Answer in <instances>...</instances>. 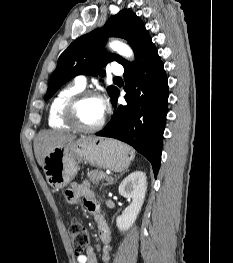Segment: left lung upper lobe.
Returning <instances> with one entry per match:
<instances>
[{
  "label": "left lung upper lobe",
  "mask_w": 233,
  "mask_h": 263,
  "mask_svg": "<svg viewBox=\"0 0 233 263\" xmlns=\"http://www.w3.org/2000/svg\"><path fill=\"white\" fill-rule=\"evenodd\" d=\"M108 37L128 40L136 58L151 41L140 18L128 9L121 10L117 15L112 16L102 29H96L79 37L60 55L56 70L50 77L44 99L51 98L63 84L77 75L105 76L102 67L110 61H117L124 67L128 65L129 62L121 56L104 50L103 45ZM107 91L112 99L118 89L109 86Z\"/></svg>",
  "instance_id": "1"
}]
</instances>
